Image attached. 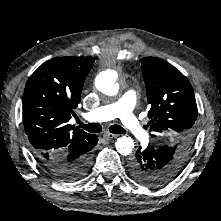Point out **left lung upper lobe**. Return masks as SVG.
Here are the masks:
<instances>
[{"label": "left lung upper lobe", "instance_id": "1", "mask_svg": "<svg viewBox=\"0 0 221 221\" xmlns=\"http://www.w3.org/2000/svg\"><path fill=\"white\" fill-rule=\"evenodd\" d=\"M141 65L150 105L149 129L152 137L162 139L157 148L164 150L160 174L155 178L165 184L179 174L189 157L197 105L190 82L174 66L156 57L143 58Z\"/></svg>", "mask_w": 221, "mask_h": 221}]
</instances>
